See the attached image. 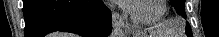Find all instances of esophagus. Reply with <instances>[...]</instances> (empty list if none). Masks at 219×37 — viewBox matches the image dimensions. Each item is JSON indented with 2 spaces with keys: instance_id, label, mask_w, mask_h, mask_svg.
Returning <instances> with one entry per match:
<instances>
[{
  "instance_id": "esophagus-1",
  "label": "esophagus",
  "mask_w": 219,
  "mask_h": 37,
  "mask_svg": "<svg viewBox=\"0 0 219 37\" xmlns=\"http://www.w3.org/2000/svg\"><path fill=\"white\" fill-rule=\"evenodd\" d=\"M112 24L116 32L117 29L124 27V21L119 13L114 12L112 14Z\"/></svg>"
}]
</instances>
